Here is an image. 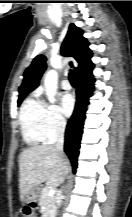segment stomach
<instances>
[{
	"label": "stomach",
	"mask_w": 132,
	"mask_h": 217,
	"mask_svg": "<svg viewBox=\"0 0 132 217\" xmlns=\"http://www.w3.org/2000/svg\"><path fill=\"white\" fill-rule=\"evenodd\" d=\"M41 195V188L40 186L33 187L26 195L25 202L26 203H33L37 202Z\"/></svg>",
	"instance_id": "0dacf381"
}]
</instances>
